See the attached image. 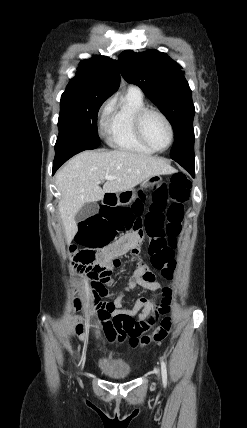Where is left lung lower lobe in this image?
<instances>
[{
    "label": "left lung lower lobe",
    "instance_id": "1",
    "mask_svg": "<svg viewBox=\"0 0 247 428\" xmlns=\"http://www.w3.org/2000/svg\"><path fill=\"white\" fill-rule=\"evenodd\" d=\"M179 163L184 169H186L193 177L195 176V162L194 158H172Z\"/></svg>",
    "mask_w": 247,
    "mask_h": 428
}]
</instances>
